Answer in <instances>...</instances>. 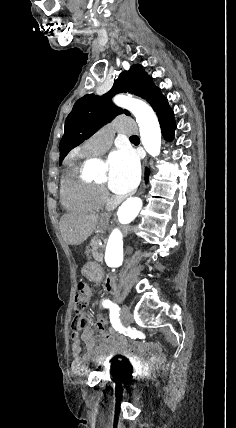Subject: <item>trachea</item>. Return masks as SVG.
I'll return each mask as SVG.
<instances>
[{
	"mask_svg": "<svg viewBox=\"0 0 236 428\" xmlns=\"http://www.w3.org/2000/svg\"><path fill=\"white\" fill-rule=\"evenodd\" d=\"M130 138L138 139V137H137L136 135H133V136H132V137H130Z\"/></svg>",
	"mask_w": 236,
	"mask_h": 428,
	"instance_id": "trachea-1",
	"label": "trachea"
}]
</instances>
